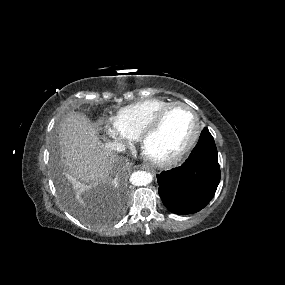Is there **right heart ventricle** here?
<instances>
[{"instance_id": "obj_1", "label": "right heart ventricle", "mask_w": 285, "mask_h": 285, "mask_svg": "<svg viewBox=\"0 0 285 285\" xmlns=\"http://www.w3.org/2000/svg\"><path fill=\"white\" fill-rule=\"evenodd\" d=\"M171 103L161 98L137 101L121 108L117 118L126 129L138 136L146 124Z\"/></svg>"}]
</instances>
